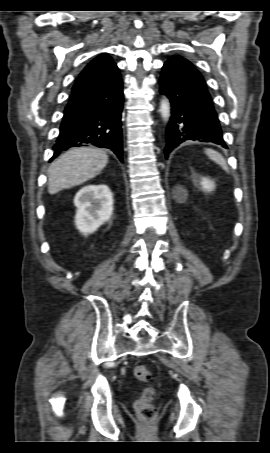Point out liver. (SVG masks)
<instances>
[{"label":"liver","instance_id":"obj_1","mask_svg":"<svg viewBox=\"0 0 270 453\" xmlns=\"http://www.w3.org/2000/svg\"><path fill=\"white\" fill-rule=\"evenodd\" d=\"M107 163L108 155L101 149L92 147L70 149L48 168L49 194H56L94 178Z\"/></svg>","mask_w":270,"mask_h":453}]
</instances>
